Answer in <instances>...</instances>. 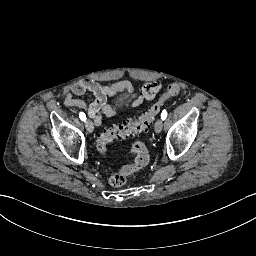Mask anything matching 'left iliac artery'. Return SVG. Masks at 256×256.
Instances as JSON below:
<instances>
[{
  "instance_id": "1",
  "label": "left iliac artery",
  "mask_w": 256,
  "mask_h": 256,
  "mask_svg": "<svg viewBox=\"0 0 256 256\" xmlns=\"http://www.w3.org/2000/svg\"><path fill=\"white\" fill-rule=\"evenodd\" d=\"M166 117H167V111L164 109V110L162 111V113H161V119H162V120H165Z\"/></svg>"
}]
</instances>
